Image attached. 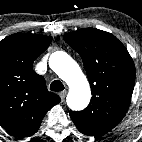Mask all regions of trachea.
<instances>
[{
    "instance_id": "1",
    "label": "trachea",
    "mask_w": 142,
    "mask_h": 142,
    "mask_svg": "<svg viewBox=\"0 0 142 142\" xmlns=\"http://www.w3.org/2000/svg\"><path fill=\"white\" fill-rule=\"evenodd\" d=\"M64 88H65L64 85L59 80L53 81L50 85V90L55 91V92L62 91V90H64Z\"/></svg>"
}]
</instances>
